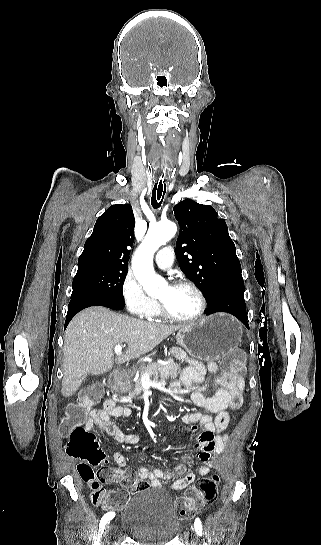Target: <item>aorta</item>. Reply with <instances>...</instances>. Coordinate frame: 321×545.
<instances>
[{
	"instance_id": "aorta-1",
	"label": "aorta",
	"mask_w": 321,
	"mask_h": 545,
	"mask_svg": "<svg viewBox=\"0 0 321 545\" xmlns=\"http://www.w3.org/2000/svg\"><path fill=\"white\" fill-rule=\"evenodd\" d=\"M176 231V224L170 221L150 226L140 249L133 257L134 274L148 294L156 295L166 285V281L154 271L153 255L159 247L174 237Z\"/></svg>"
}]
</instances>
